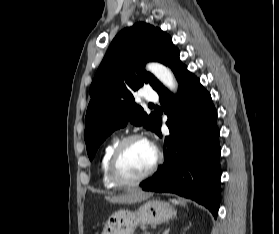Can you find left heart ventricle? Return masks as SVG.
Masks as SVG:
<instances>
[{
  "label": "left heart ventricle",
  "instance_id": "obj_1",
  "mask_svg": "<svg viewBox=\"0 0 279 234\" xmlns=\"http://www.w3.org/2000/svg\"><path fill=\"white\" fill-rule=\"evenodd\" d=\"M155 150L146 141L135 140L123 150L119 163V173L123 178L132 179L143 174L153 163Z\"/></svg>",
  "mask_w": 279,
  "mask_h": 234
}]
</instances>
